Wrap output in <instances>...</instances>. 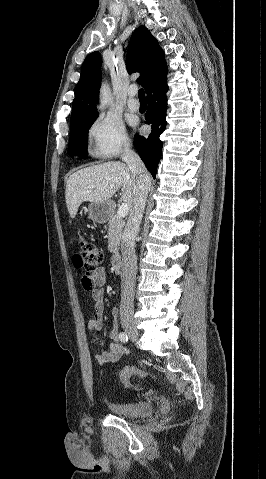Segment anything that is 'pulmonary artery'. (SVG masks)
<instances>
[{"label":"pulmonary artery","instance_id":"obj_1","mask_svg":"<svg viewBox=\"0 0 266 479\" xmlns=\"http://www.w3.org/2000/svg\"><path fill=\"white\" fill-rule=\"evenodd\" d=\"M135 94H136L135 90H133V89L128 90L129 99L127 101V106L129 108V110L133 111V112L138 111L139 108H140L139 101L134 97Z\"/></svg>","mask_w":266,"mask_h":479}]
</instances>
